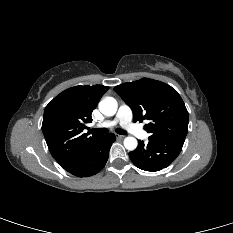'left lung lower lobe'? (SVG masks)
I'll return each mask as SVG.
<instances>
[{"mask_svg": "<svg viewBox=\"0 0 233 233\" xmlns=\"http://www.w3.org/2000/svg\"><path fill=\"white\" fill-rule=\"evenodd\" d=\"M184 140H150L148 144L139 141L138 147L129 157L138 168L145 171H159L169 166L181 152Z\"/></svg>", "mask_w": 233, "mask_h": 233, "instance_id": "0a47b994", "label": "left lung lower lobe"}]
</instances>
